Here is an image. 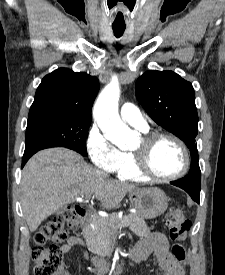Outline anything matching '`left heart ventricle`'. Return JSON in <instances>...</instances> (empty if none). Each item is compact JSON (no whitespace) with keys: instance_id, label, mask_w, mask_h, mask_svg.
Segmentation results:
<instances>
[{"instance_id":"1","label":"left heart ventricle","mask_w":225,"mask_h":275,"mask_svg":"<svg viewBox=\"0 0 225 275\" xmlns=\"http://www.w3.org/2000/svg\"><path fill=\"white\" fill-rule=\"evenodd\" d=\"M143 147L142 139L135 148ZM149 164L158 175H172L177 173L183 165V154L179 146L171 140L163 139L157 142L150 151Z\"/></svg>"}]
</instances>
